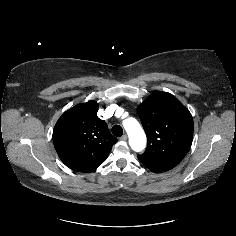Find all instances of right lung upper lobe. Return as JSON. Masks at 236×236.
<instances>
[{"label":"right lung upper lobe","mask_w":236,"mask_h":236,"mask_svg":"<svg viewBox=\"0 0 236 236\" xmlns=\"http://www.w3.org/2000/svg\"><path fill=\"white\" fill-rule=\"evenodd\" d=\"M98 103L89 101L66 111L53 129L54 147L62 162L77 172H92L117 142L97 116Z\"/></svg>","instance_id":"obj_1"}]
</instances>
